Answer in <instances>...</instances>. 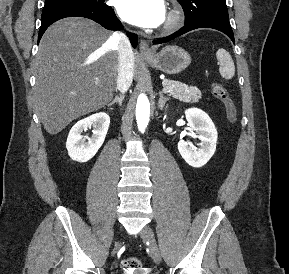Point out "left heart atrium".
Returning <instances> with one entry per match:
<instances>
[{
	"mask_svg": "<svg viewBox=\"0 0 289 274\" xmlns=\"http://www.w3.org/2000/svg\"><path fill=\"white\" fill-rule=\"evenodd\" d=\"M117 11L124 21L140 27H157L165 20L163 0H117Z\"/></svg>",
	"mask_w": 289,
	"mask_h": 274,
	"instance_id": "39dd6f15",
	"label": "left heart atrium"
}]
</instances>
